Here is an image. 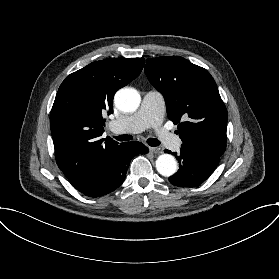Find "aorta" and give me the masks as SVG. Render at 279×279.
<instances>
[{"label": "aorta", "mask_w": 279, "mask_h": 279, "mask_svg": "<svg viewBox=\"0 0 279 279\" xmlns=\"http://www.w3.org/2000/svg\"><path fill=\"white\" fill-rule=\"evenodd\" d=\"M141 102L139 93L133 88H122L114 96L116 107L123 112L135 111ZM156 169L162 176L169 177L176 173L177 162L170 154H162L156 160Z\"/></svg>", "instance_id": "762f6f07"}]
</instances>
